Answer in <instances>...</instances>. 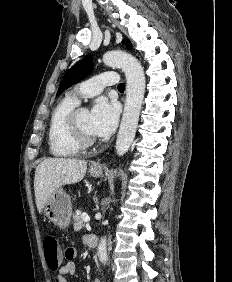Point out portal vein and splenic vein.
<instances>
[{
    "mask_svg": "<svg viewBox=\"0 0 232 282\" xmlns=\"http://www.w3.org/2000/svg\"><path fill=\"white\" fill-rule=\"evenodd\" d=\"M82 218H83V221H84V222H89V220H90V217L88 216L87 213H83V214H82Z\"/></svg>",
    "mask_w": 232,
    "mask_h": 282,
    "instance_id": "1",
    "label": "portal vein and splenic vein"
}]
</instances>
